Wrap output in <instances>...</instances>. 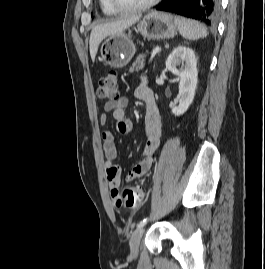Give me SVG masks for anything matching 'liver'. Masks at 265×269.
<instances>
[{
	"label": "liver",
	"instance_id": "liver-1",
	"mask_svg": "<svg viewBox=\"0 0 265 269\" xmlns=\"http://www.w3.org/2000/svg\"><path fill=\"white\" fill-rule=\"evenodd\" d=\"M140 17V15L133 16L94 26L89 40L90 56L92 61L94 62L98 47L103 39L112 34L122 33L125 29L139 21Z\"/></svg>",
	"mask_w": 265,
	"mask_h": 269
}]
</instances>
